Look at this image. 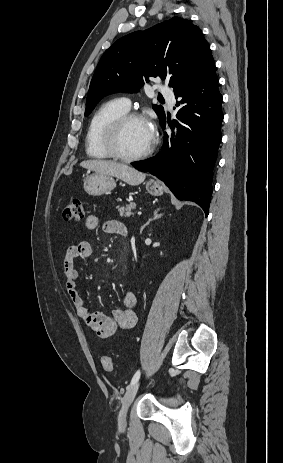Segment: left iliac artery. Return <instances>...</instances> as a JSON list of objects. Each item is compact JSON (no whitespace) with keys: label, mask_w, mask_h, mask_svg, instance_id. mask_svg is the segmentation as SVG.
Instances as JSON below:
<instances>
[{"label":"left iliac artery","mask_w":283,"mask_h":463,"mask_svg":"<svg viewBox=\"0 0 283 463\" xmlns=\"http://www.w3.org/2000/svg\"><path fill=\"white\" fill-rule=\"evenodd\" d=\"M139 377H140V370H138V371L134 374V376H133V378H132V380H131V384H130V385H133L134 383H136V382L139 380Z\"/></svg>","instance_id":"left-iliac-artery-1"}]
</instances>
